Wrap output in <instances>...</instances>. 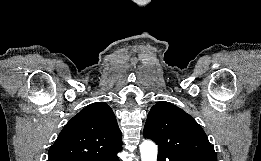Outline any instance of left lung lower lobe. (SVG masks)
Segmentation results:
<instances>
[{"mask_svg": "<svg viewBox=\"0 0 261 161\" xmlns=\"http://www.w3.org/2000/svg\"><path fill=\"white\" fill-rule=\"evenodd\" d=\"M157 161H203V160L199 158L175 153L172 151L159 150Z\"/></svg>", "mask_w": 261, "mask_h": 161, "instance_id": "0a47b994", "label": "left lung lower lobe"}]
</instances>
